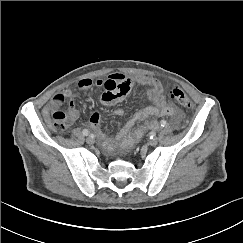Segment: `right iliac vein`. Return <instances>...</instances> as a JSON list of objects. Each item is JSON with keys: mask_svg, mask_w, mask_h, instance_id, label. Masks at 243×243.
<instances>
[{"mask_svg": "<svg viewBox=\"0 0 243 243\" xmlns=\"http://www.w3.org/2000/svg\"><path fill=\"white\" fill-rule=\"evenodd\" d=\"M86 142H87L88 144H93V143H94V138H93V137H87V138H86Z\"/></svg>", "mask_w": 243, "mask_h": 243, "instance_id": "obj_1", "label": "right iliac vein"}]
</instances>
